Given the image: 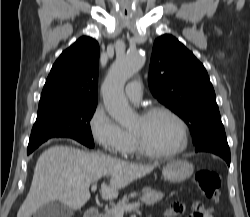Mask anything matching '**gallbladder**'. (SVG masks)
<instances>
[{
	"label": "gallbladder",
	"instance_id": "gallbladder-1",
	"mask_svg": "<svg viewBox=\"0 0 250 217\" xmlns=\"http://www.w3.org/2000/svg\"><path fill=\"white\" fill-rule=\"evenodd\" d=\"M73 211L59 202H49L41 206L34 217H71Z\"/></svg>",
	"mask_w": 250,
	"mask_h": 217
}]
</instances>
